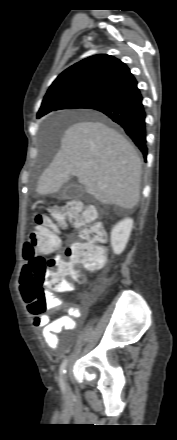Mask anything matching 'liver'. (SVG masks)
<instances>
[{"label": "liver", "mask_w": 177, "mask_h": 440, "mask_svg": "<svg viewBox=\"0 0 177 440\" xmlns=\"http://www.w3.org/2000/svg\"><path fill=\"white\" fill-rule=\"evenodd\" d=\"M142 161L116 130L98 121L71 125L60 150L42 173L37 193H56L76 176L87 193L107 205L132 209L140 198Z\"/></svg>", "instance_id": "obj_1"}]
</instances>
